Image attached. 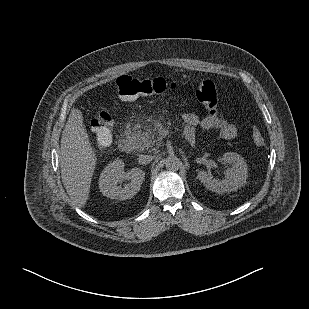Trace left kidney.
<instances>
[{"mask_svg": "<svg viewBox=\"0 0 309 309\" xmlns=\"http://www.w3.org/2000/svg\"><path fill=\"white\" fill-rule=\"evenodd\" d=\"M218 161L232 166L225 171L223 180L209 176L204 170L198 172V179L208 190L222 194L236 191L245 184L248 177V166L241 155L235 152H227L219 157Z\"/></svg>", "mask_w": 309, "mask_h": 309, "instance_id": "5707ae66", "label": "left kidney"}]
</instances>
